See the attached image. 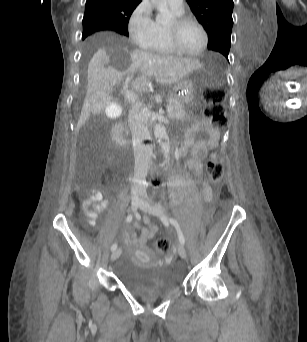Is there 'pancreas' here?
<instances>
[{
  "label": "pancreas",
  "instance_id": "cf45deb5",
  "mask_svg": "<svg viewBox=\"0 0 307 342\" xmlns=\"http://www.w3.org/2000/svg\"><path fill=\"white\" fill-rule=\"evenodd\" d=\"M168 98V102L170 104H174V106H170L173 108V110L172 112H168L169 118H171V120H179V118H184L187 113L184 106H179V104H177L179 96L177 94H170Z\"/></svg>",
  "mask_w": 307,
  "mask_h": 342
}]
</instances>
